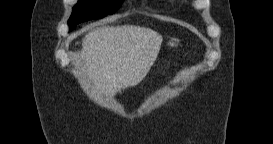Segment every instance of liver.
I'll return each mask as SVG.
<instances>
[{"label": "liver", "mask_w": 273, "mask_h": 144, "mask_svg": "<svg viewBox=\"0 0 273 144\" xmlns=\"http://www.w3.org/2000/svg\"><path fill=\"white\" fill-rule=\"evenodd\" d=\"M162 41L159 33L145 27H98L82 39V70L97 90L113 96L145 78Z\"/></svg>", "instance_id": "obj_1"}]
</instances>
